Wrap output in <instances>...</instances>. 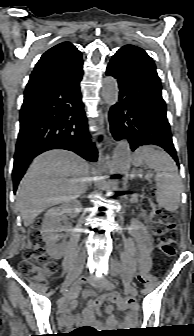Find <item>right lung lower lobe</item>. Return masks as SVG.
<instances>
[{"label":"right lung lower lobe","mask_w":194,"mask_h":336,"mask_svg":"<svg viewBox=\"0 0 194 336\" xmlns=\"http://www.w3.org/2000/svg\"><path fill=\"white\" fill-rule=\"evenodd\" d=\"M82 75L81 66L59 82L24 95L14 156V193L31 160L49 149H66L88 161L97 160L81 100Z\"/></svg>","instance_id":"1"}]
</instances>
